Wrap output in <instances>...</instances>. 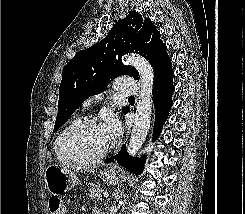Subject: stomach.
Wrapping results in <instances>:
<instances>
[{"label": "stomach", "mask_w": 245, "mask_h": 214, "mask_svg": "<svg viewBox=\"0 0 245 214\" xmlns=\"http://www.w3.org/2000/svg\"><path fill=\"white\" fill-rule=\"evenodd\" d=\"M101 174L103 181L110 185L118 184L122 178V172L116 169H105ZM44 180L46 188L53 195H61L80 183L73 171L58 165H49L46 168Z\"/></svg>", "instance_id": "obj_1"}]
</instances>
